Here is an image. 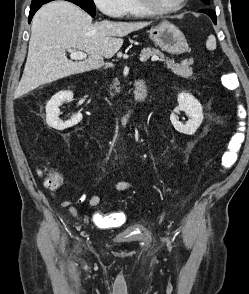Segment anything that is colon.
Segmentation results:
<instances>
[{
	"instance_id": "1",
	"label": "colon",
	"mask_w": 249,
	"mask_h": 294,
	"mask_svg": "<svg viewBox=\"0 0 249 294\" xmlns=\"http://www.w3.org/2000/svg\"><path fill=\"white\" fill-rule=\"evenodd\" d=\"M222 84L224 88L231 92L234 96L238 95V87L231 81V79L228 78L226 74L222 75ZM235 112L237 117V130L234 132L232 140L229 143V150L222 156L221 167L223 170L229 169L234 164L236 160V153L240 148L241 142L243 141L241 133L243 125V109L240 104L235 105ZM40 172L45 178V185L48 189L56 190L62 186V176L55 169L44 167ZM113 222H116V220L114 219Z\"/></svg>"
}]
</instances>
